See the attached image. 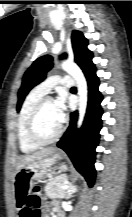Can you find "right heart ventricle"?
Masks as SVG:
<instances>
[{"instance_id":"obj_1","label":"right heart ventricle","mask_w":132,"mask_h":217,"mask_svg":"<svg viewBox=\"0 0 132 217\" xmlns=\"http://www.w3.org/2000/svg\"><path fill=\"white\" fill-rule=\"evenodd\" d=\"M45 96L38 88L32 89L25 97L21 111L18 118L17 137L20 150L23 153H32L36 151L39 146L32 143L27 135V121L29 115L35 105Z\"/></svg>"}]
</instances>
